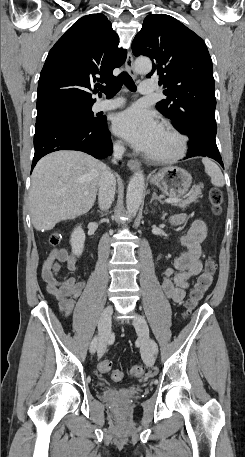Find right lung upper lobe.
Masks as SVG:
<instances>
[{
  "mask_svg": "<svg viewBox=\"0 0 245 457\" xmlns=\"http://www.w3.org/2000/svg\"><path fill=\"white\" fill-rule=\"evenodd\" d=\"M119 38L103 14H90L75 22L50 50L38 83L37 111L62 103L90 100L100 83L110 82L113 69L126 60Z\"/></svg>",
  "mask_w": 245,
  "mask_h": 457,
  "instance_id": "obj_1",
  "label": "right lung upper lobe"
}]
</instances>
